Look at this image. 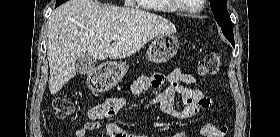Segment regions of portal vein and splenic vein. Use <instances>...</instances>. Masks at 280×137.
I'll return each instance as SVG.
<instances>
[{"label": "portal vein and splenic vein", "instance_id": "18ae733b", "mask_svg": "<svg viewBox=\"0 0 280 137\" xmlns=\"http://www.w3.org/2000/svg\"><path fill=\"white\" fill-rule=\"evenodd\" d=\"M117 39H119V35H113L112 36V40H117Z\"/></svg>", "mask_w": 280, "mask_h": 137}]
</instances>
